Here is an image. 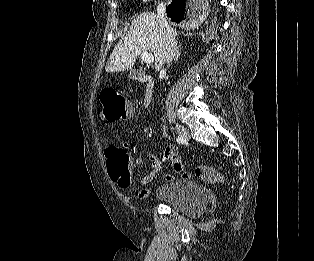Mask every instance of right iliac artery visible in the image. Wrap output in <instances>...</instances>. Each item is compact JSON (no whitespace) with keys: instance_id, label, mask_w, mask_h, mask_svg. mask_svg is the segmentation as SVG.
I'll return each mask as SVG.
<instances>
[{"instance_id":"obj_1","label":"right iliac artery","mask_w":314,"mask_h":261,"mask_svg":"<svg viewBox=\"0 0 314 261\" xmlns=\"http://www.w3.org/2000/svg\"><path fill=\"white\" fill-rule=\"evenodd\" d=\"M176 141H177L179 144H182V143L184 142L183 138L180 137V136H178V137L176 138Z\"/></svg>"}]
</instances>
